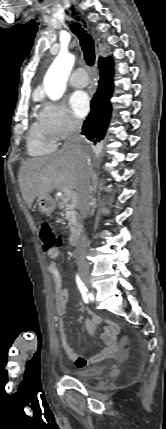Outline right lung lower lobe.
Returning a JSON list of instances; mask_svg holds the SVG:
<instances>
[{"label":"right lung lower lobe","mask_w":166,"mask_h":429,"mask_svg":"<svg viewBox=\"0 0 166 429\" xmlns=\"http://www.w3.org/2000/svg\"><path fill=\"white\" fill-rule=\"evenodd\" d=\"M100 69V80L97 92L91 101V112L82 126V134L94 143L101 141L109 125L111 104L110 98L113 93V60L100 58L98 62Z\"/></svg>","instance_id":"right-lung-lower-lobe-1"}]
</instances>
